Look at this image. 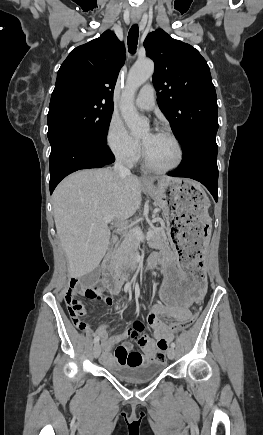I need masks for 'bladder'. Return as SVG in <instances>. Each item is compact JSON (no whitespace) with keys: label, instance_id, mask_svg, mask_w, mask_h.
I'll return each instance as SVG.
<instances>
[{"label":"bladder","instance_id":"bladder-1","mask_svg":"<svg viewBox=\"0 0 263 435\" xmlns=\"http://www.w3.org/2000/svg\"><path fill=\"white\" fill-rule=\"evenodd\" d=\"M163 360H152L140 365H107V370L115 377L128 382H145L156 378L164 370Z\"/></svg>","mask_w":263,"mask_h":435}]
</instances>
